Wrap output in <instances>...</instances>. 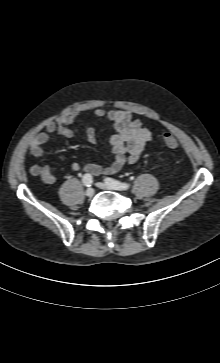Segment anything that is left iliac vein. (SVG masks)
<instances>
[{
    "instance_id": "left-iliac-vein-1",
    "label": "left iliac vein",
    "mask_w": 220,
    "mask_h": 363,
    "mask_svg": "<svg viewBox=\"0 0 220 363\" xmlns=\"http://www.w3.org/2000/svg\"><path fill=\"white\" fill-rule=\"evenodd\" d=\"M96 186L99 187L100 189H103V190H114V191H119L120 190V189H118L116 187H112V186L108 185L107 183H102V182L96 183Z\"/></svg>"
}]
</instances>
